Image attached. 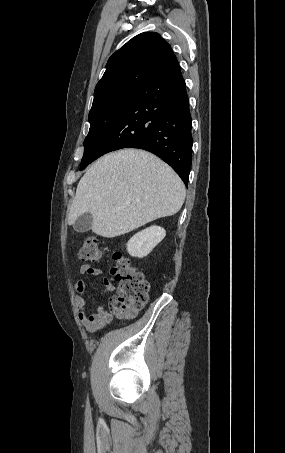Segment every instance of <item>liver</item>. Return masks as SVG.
I'll return each mask as SVG.
<instances>
[{
    "label": "liver",
    "instance_id": "obj_1",
    "mask_svg": "<svg viewBox=\"0 0 285 453\" xmlns=\"http://www.w3.org/2000/svg\"><path fill=\"white\" fill-rule=\"evenodd\" d=\"M185 186L174 170L153 154L123 149L99 158L80 179L68 224L90 213L92 231L113 238L182 207Z\"/></svg>",
    "mask_w": 285,
    "mask_h": 453
}]
</instances>
